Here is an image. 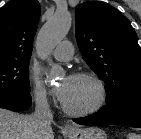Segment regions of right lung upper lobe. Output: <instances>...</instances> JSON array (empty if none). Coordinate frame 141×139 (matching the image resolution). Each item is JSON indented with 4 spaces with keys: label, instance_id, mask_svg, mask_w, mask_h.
Listing matches in <instances>:
<instances>
[{
    "label": "right lung upper lobe",
    "instance_id": "obj_1",
    "mask_svg": "<svg viewBox=\"0 0 141 139\" xmlns=\"http://www.w3.org/2000/svg\"><path fill=\"white\" fill-rule=\"evenodd\" d=\"M40 10L38 0H11L0 9V58L30 59Z\"/></svg>",
    "mask_w": 141,
    "mask_h": 139
}]
</instances>
